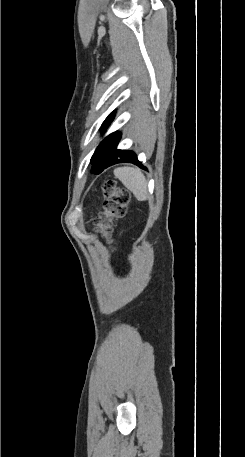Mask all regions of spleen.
<instances>
[{
    "instance_id": "obj_1",
    "label": "spleen",
    "mask_w": 245,
    "mask_h": 457,
    "mask_svg": "<svg viewBox=\"0 0 245 457\" xmlns=\"http://www.w3.org/2000/svg\"><path fill=\"white\" fill-rule=\"evenodd\" d=\"M114 174L133 192L137 200H147L149 198L148 182L146 176L141 172V168H137V166H118V168H115Z\"/></svg>"
}]
</instances>
